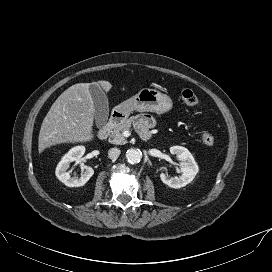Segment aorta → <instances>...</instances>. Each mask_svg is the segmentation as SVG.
<instances>
[{
    "label": "aorta",
    "mask_w": 272,
    "mask_h": 272,
    "mask_svg": "<svg viewBox=\"0 0 272 272\" xmlns=\"http://www.w3.org/2000/svg\"><path fill=\"white\" fill-rule=\"evenodd\" d=\"M142 154L136 149H128L126 152V159L130 164H137L141 161Z\"/></svg>",
    "instance_id": "aorta-1"
}]
</instances>
